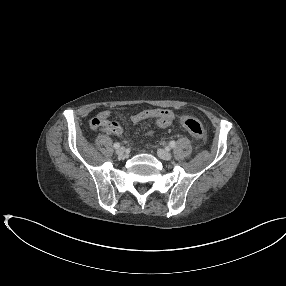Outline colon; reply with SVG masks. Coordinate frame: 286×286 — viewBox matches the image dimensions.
<instances>
[{
  "label": "colon",
  "instance_id": "1",
  "mask_svg": "<svg viewBox=\"0 0 286 286\" xmlns=\"http://www.w3.org/2000/svg\"><path fill=\"white\" fill-rule=\"evenodd\" d=\"M180 122L190 134L198 141H203L205 138V131L202 123L192 117H182Z\"/></svg>",
  "mask_w": 286,
  "mask_h": 286
}]
</instances>
